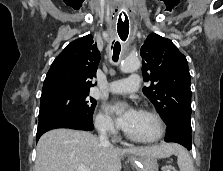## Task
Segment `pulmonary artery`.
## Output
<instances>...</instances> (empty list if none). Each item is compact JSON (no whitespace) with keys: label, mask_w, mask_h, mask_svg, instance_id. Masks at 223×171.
I'll return each mask as SVG.
<instances>
[{"label":"pulmonary artery","mask_w":223,"mask_h":171,"mask_svg":"<svg viewBox=\"0 0 223 171\" xmlns=\"http://www.w3.org/2000/svg\"><path fill=\"white\" fill-rule=\"evenodd\" d=\"M140 87V77L132 74L126 79L110 82L108 91L114 94H130L136 92Z\"/></svg>","instance_id":"e3ab8cb5"}]
</instances>
